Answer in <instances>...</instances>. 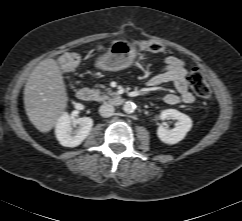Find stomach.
<instances>
[{
    "label": "stomach",
    "instance_id": "stomach-1",
    "mask_svg": "<svg viewBox=\"0 0 242 221\" xmlns=\"http://www.w3.org/2000/svg\"><path fill=\"white\" fill-rule=\"evenodd\" d=\"M139 53L135 45L128 40H114L107 52L95 62L96 68L102 71L115 72L131 66Z\"/></svg>",
    "mask_w": 242,
    "mask_h": 221
}]
</instances>
